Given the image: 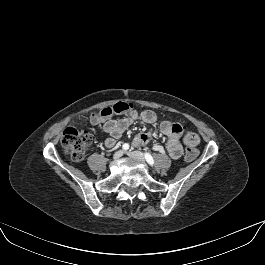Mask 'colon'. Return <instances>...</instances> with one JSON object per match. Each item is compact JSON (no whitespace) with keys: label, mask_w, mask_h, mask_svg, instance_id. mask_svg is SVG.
<instances>
[{"label":"colon","mask_w":265,"mask_h":265,"mask_svg":"<svg viewBox=\"0 0 265 265\" xmlns=\"http://www.w3.org/2000/svg\"><path fill=\"white\" fill-rule=\"evenodd\" d=\"M132 103L118 102L111 106H106L91 115L93 124H100L115 115H124L132 111ZM93 140V134L88 129L68 128L64 132L62 139V148L64 152L74 161L83 159L86 151ZM198 156V151L194 147L186 149L184 158L186 161H192Z\"/></svg>","instance_id":"colon-1"}]
</instances>
